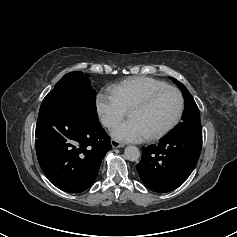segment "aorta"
Here are the masks:
<instances>
[{"label": "aorta", "instance_id": "1", "mask_svg": "<svg viewBox=\"0 0 237 237\" xmlns=\"http://www.w3.org/2000/svg\"><path fill=\"white\" fill-rule=\"evenodd\" d=\"M124 157L129 161H137L140 157V151L136 146H127L124 151Z\"/></svg>", "mask_w": 237, "mask_h": 237}]
</instances>
